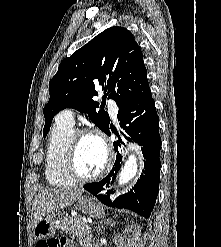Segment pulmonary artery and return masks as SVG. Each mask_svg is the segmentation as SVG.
I'll return each instance as SVG.
<instances>
[{"label":"pulmonary artery","mask_w":221,"mask_h":247,"mask_svg":"<svg viewBox=\"0 0 221 247\" xmlns=\"http://www.w3.org/2000/svg\"><path fill=\"white\" fill-rule=\"evenodd\" d=\"M109 107H110V113H111V115L113 117H115L116 114H117V106H116V103L114 101H110L109 102ZM57 120H59L60 122H62L64 124L73 126L74 123H75L73 110L72 109H66V110L62 111L57 116Z\"/></svg>","instance_id":"obj_1"}]
</instances>
